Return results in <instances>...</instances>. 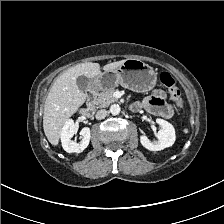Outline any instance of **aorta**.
<instances>
[{
	"instance_id": "aorta-1",
	"label": "aorta",
	"mask_w": 224,
	"mask_h": 224,
	"mask_svg": "<svg viewBox=\"0 0 224 224\" xmlns=\"http://www.w3.org/2000/svg\"><path fill=\"white\" fill-rule=\"evenodd\" d=\"M120 106L118 104H113L110 107V112L112 115H118L120 113Z\"/></svg>"
}]
</instances>
